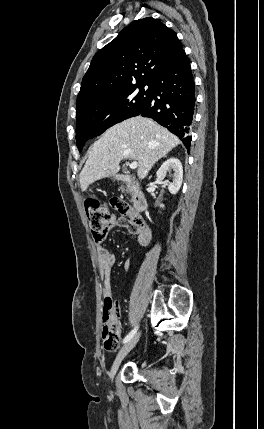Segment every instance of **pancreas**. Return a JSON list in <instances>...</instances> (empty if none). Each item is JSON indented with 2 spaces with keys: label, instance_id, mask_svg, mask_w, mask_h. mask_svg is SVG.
I'll return each instance as SVG.
<instances>
[{
  "label": "pancreas",
  "instance_id": "obj_1",
  "mask_svg": "<svg viewBox=\"0 0 264 429\" xmlns=\"http://www.w3.org/2000/svg\"><path fill=\"white\" fill-rule=\"evenodd\" d=\"M121 191L126 193H132V189L129 186H121Z\"/></svg>",
  "mask_w": 264,
  "mask_h": 429
}]
</instances>
